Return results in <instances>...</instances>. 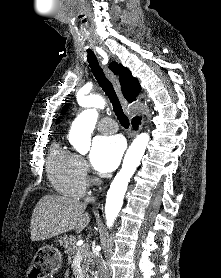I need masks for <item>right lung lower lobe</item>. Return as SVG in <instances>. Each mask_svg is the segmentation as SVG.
Returning a JSON list of instances; mask_svg holds the SVG:
<instances>
[{"mask_svg": "<svg viewBox=\"0 0 221 278\" xmlns=\"http://www.w3.org/2000/svg\"><path fill=\"white\" fill-rule=\"evenodd\" d=\"M140 124V118L136 117L132 120L133 128L136 130L138 125Z\"/></svg>", "mask_w": 221, "mask_h": 278, "instance_id": "right-lung-lower-lobe-1", "label": "right lung lower lobe"}]
</instances>
